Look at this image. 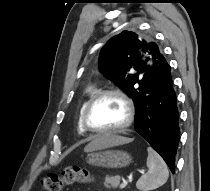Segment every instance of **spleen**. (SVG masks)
I'll return each mask as SVG.
<instances>
[{
	"mask_svg": "<svg viewBox=\"0 0 210 191\" xmlns=\"http://www.w3.org/2000/svg\"><path fill=\"white\" fill-rule=\"evenodd\" d=\"M148 172L137 181L136 187L141 191L155 190L166 183L169 171L162 157L151 147L147 148Z\"/></svg>",
	"mask_w": 210,
	"mask_h": 191,
	"instance_id": "1",
	"label": "spleen"
}]
</instances>
